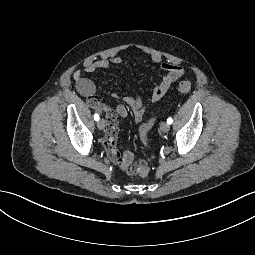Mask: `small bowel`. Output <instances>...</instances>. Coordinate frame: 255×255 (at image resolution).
<instances>
[{
    "label": "small bowel",
    "mask_w": 255,
    "mask_h": 255,
    "mask_svg": "<svg viewBox=\"0 0 255 255\" xmlns=\"http://www.w3.org/2000/svg\"><path fill=\"white\" fill-rule=\"evenodd\" d=\"M151 62L153 64H159L162 71L161 80L154 87L151 95V102L156 103L164 97L171 85L183 75V68L177 63L162 61L160 57L151 58ZM121 64L122 59L118 56H113L111 58L86 61L84 63V69L87 72H95L100 69H107L111 65ZM73 78L78 92L86 99L87 104L91 108L101 111L106 115L107 130L104 145L109 159L117 165L120 171L130 175L135 174L138 171V167L132 165V152L126 149L121 155L116 147L118 117L126 118L129 107L135 121L139 122L143 119L147 111V106L139 97L125 96L122 98L123 103L113 108L110 104L102 102L96 96L95 84L89 78L83 76L80 70L74 71ZM114 97L118 98L119 96L115 94Z\"/></svg>",
    "instance_id": "small-bowel-1"
}]
</instances>
